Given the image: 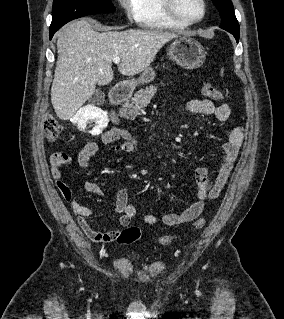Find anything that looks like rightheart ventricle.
<instances>
[{"label": "right heart ventricle", "instance_id": "e07e8e85", "mask_svg": "<svg viewBox=\"0 0 284 319\" xmlns=\"http://www.w3.org/2000/svg\"><path fill=\"white\" fill-rule=\"evenodd\" d=\"M135 21L145 29L176 30L187 27L168 16L163 0H137Z\"/></svg>", "mask_w": 284, "mask_h": 319}]
</instances>
